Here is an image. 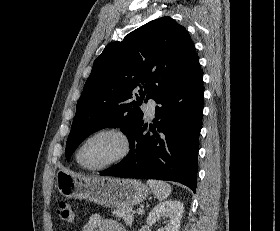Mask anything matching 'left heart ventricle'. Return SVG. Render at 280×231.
I'll return each mask as SVG.
<instances>
[{
	"label": "left heart ventricle",
	"mask_w": 280,
	"mask_h": 231,
	"mask_svg": "<svg viewBox=\"0 0 280 231\" xmlns=\"http://www.w3.org/2000/svg\"><path fill=\"white\" fill-rule=\"evenodd\" d=\"M123 150L121 138L113 133H104L91 138L81 152V162L89 168L101 167L115 158Z\"/></svg>",
	"instance_id": "1"
}]
</instances>
